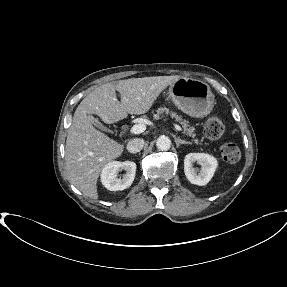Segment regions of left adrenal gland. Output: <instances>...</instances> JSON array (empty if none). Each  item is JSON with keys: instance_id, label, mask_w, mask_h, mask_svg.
<instances>
[{"instance_id": "a2214340", "label": "left adrenal gland", "mask_w": 287, "mask_h": 287, "mask_svg": "<svg viewBox=\"0 0 287 287\" xmlns=\"http://www.w3.org/2000/svg\"><path fill=\"white\" fill-rule=\"evenodd\" d=\"M175 142L177 144H191V142H188V141H185V140H181L179 137L178 138H175Z\"/></svg>"}]
</instances>
